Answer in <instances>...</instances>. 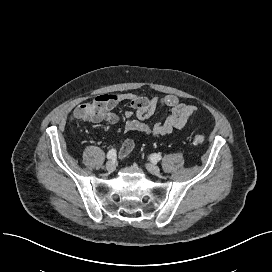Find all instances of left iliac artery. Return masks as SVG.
<instances>
[{
  "mask_svg": "<svg viewBox=\"0 0 272 272\" xmlns=\"http://www.w3.org/2000/svg\"><path fill=\"white\" fill-rule=\"evenodd\" d=\"M161 155L160 154H152L151 156H150V159H151V161L152 162H157V161H159V160H161Z\"/></svg>",
  "mask_w": 272,
  "mask_h": 272,
  "instance_id": "1",
  "label": "left iliac artery"
}]
</instances>
